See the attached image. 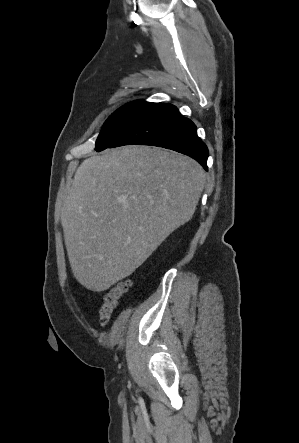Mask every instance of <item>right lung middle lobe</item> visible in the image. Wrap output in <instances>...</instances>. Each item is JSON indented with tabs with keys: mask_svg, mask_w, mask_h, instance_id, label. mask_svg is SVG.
I'll use <instances>...</instances> for the list:
<instances>
[{
	"mask_svg": "<svg viewBox=\"0 0 299 443\" xmlns=\"http://www.w3.org/2000/svg\"><path fill=\"white\" fill-rule=\"evenodd\" d=\"M151 103L130 102L116 110L105 122L96 141V151L108 148Z\"/></svg>",
	"mask_w": 299,
	"mask_h": 443,
	"instance_id": "obj_1",
	"label": "right lung middle lobe"
}]
</instances>
